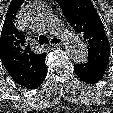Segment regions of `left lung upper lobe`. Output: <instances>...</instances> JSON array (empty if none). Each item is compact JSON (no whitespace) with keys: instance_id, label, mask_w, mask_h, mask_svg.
I'll use <instances>...</instances> for the list:
<instances>
[{"instance_id":"1","label":"left lung upper lobe","mask_w":113,"mask_h":113,"mask_svg":"<svg viewBox=\"0 0 113 113\" xmlns=\"http://www.w3.org/2000/svg\"><path fill=\"white\" fill-rule=\"evenodd\" d=\"M70 25L88 44V62L108 66L110 44L103 23L90 0H56Z\"/></svg>"}]
</instances>
